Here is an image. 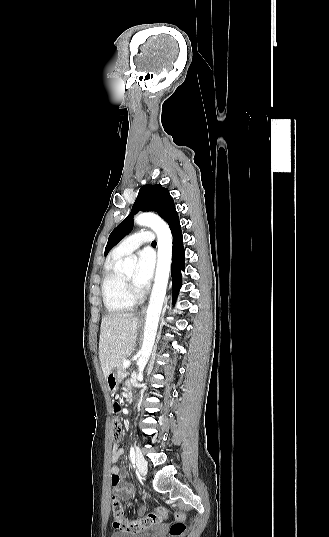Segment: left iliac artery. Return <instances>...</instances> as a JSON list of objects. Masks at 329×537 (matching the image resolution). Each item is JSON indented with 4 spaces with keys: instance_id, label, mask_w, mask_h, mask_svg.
<instances>
[{
    "instance_id": "obj_1",
    "label": "left iliac artery",
    "mask_w": 329,
    "mask_h": 537,
    "mask_svg": "<svg viewBox=\"0 0 329 537\" xmlns=\"http://www.w3.org/2000/svg\"><path fill=\"white\" fill-rule=\"evenodd\" d=\"M130 460H131L133 466L135 467V465H134L135 464V449H134L133 446H131V448H130Z\"/></svg>"
}]
</instances>
